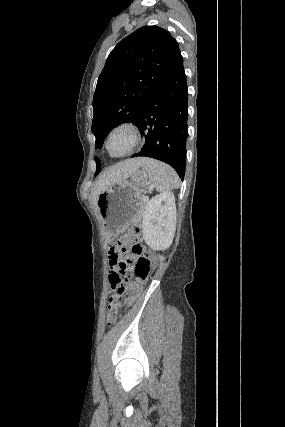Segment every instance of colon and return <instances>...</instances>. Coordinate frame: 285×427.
Here are the masks:
<instances>
[{
    "mask_svg": "<svg viewBox=\"0 0 285 427\" xmlns=\"http://www.w3.org/2000/svg\"><path fill=\"white\" fill-rule=\"evenodd\" d=\"M139 235L138 228L128 229L114 242L115 255H121L122 252L128 250L134 256V260L129 262L119 260L117 264L121 273L110 274L109 276L114 290V294L109 299V324L115 322L116 313L125 303V296L128 295L130 299H134L139 294L141 286L150 276L152 258L140 243ZM128 268H131L133 277L127 282L126 270Z\"/></svg>",
    "mask_w": 285,
    "mask_h": 427,
    "instance_id": "colon-1",
    "label": "colon"
}]
</instances>
